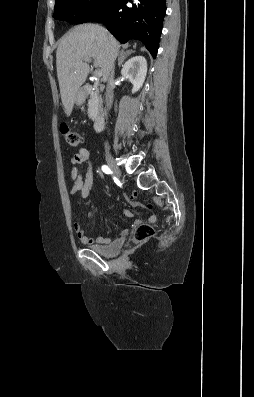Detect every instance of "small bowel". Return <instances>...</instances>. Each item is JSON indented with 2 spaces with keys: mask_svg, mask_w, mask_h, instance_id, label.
Returning <instances> with one entry per match:
<instances>
[{
  "mask_svg": "<svg viewBox=\"0 0 254 397\" xmlns=\"http://www.w3.org/2000/svg\"><path fill=\"white\" fill-rule=\"evenodd\" d=\"M90 153L86 148H80L77 153H75L71 162L73 167L71 168L70 174L73 180V185L71 187L70 193L71 195H79L82 199H87L90 195L91 187L93 184V167L92 163L89 160ZM80 166V167H78ZM129 202L132 205H138V203L130 198ZM124 215L126 217H132V213L130 211L124 210ZM89 219H93V212H89ZM156 221V217L154 215L148 216V222L154 223ZM141 223L140 220H135L134 225L137 226ZM74 231L78 237V239L86 245H102L110 243V238L108 237H90L88 236L81 224L74 223L73 225ZM128 233V230L125 229L122 231V234L125 235Z\"/></svg>",
  "mask_w": 254,
  "mask_h": 397,
  "instance_id": "small-bowel-1",
  "label": "small bowel"
}]
</instances>
